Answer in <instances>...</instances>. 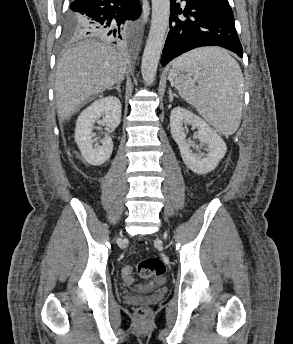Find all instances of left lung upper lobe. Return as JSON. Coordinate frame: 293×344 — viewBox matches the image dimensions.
I'll return each instance as SVG.
<instances>
[{"mask_svg": "<svg viewBox=\"0 0 293 344\" xmlns=\"http://www.w3.org/2000/svg\"><path fill=\"white\" fill-rule=\"evenodd\" d=\"M220 2H222L225 6H227L229 9H231L228 0H219Z\"/></svg>", "mask_w": 293, "mask_h": 344, "instance_id": "1", "label": "left lung upper lobe"}]
</instances>
